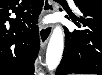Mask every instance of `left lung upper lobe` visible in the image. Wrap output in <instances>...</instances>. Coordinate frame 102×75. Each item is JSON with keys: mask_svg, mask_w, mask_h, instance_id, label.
Wrapping results in <instances>:
<instances>
[{"mask_svg": "<svg viewBox=\"0 0 102 75\" xmlns=\"http://www.w3.org/2000/svg\"><path fill=\"white\" fill-rule=\"evenodd\" d=\"M76 6H90L102 9V0H74Z\"/></svg>", "mask_w": 102, "mask_h": 75, "instance_id": "5c2ea615", "label": "left lung upper lobe"}]
</instances>
